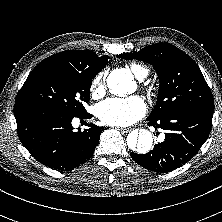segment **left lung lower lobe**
<instances>
[{
    "label": "left lung lower lobe",
    "mask_w": 222,
    "mask_h": 222,
    "mask_svg": "<svg viewBox=\"0 0 222 222\" xmlns=\"http://www.w3.org/2000/svg\"><path fill=\"white\" fill-rule=\"evenodd\" d=\"M214 109L187 107L158 120L147 118L148 125L165 130V140L147 154L131 153L142 167L163 173L187 163L207 140Z\"/></svg>",
    "instance_id": "left-lung-lower-lobe-1"
}]
</instances>
